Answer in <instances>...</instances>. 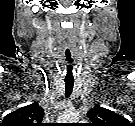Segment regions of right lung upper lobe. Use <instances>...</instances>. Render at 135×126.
<instances>
[{"mask_svg":"<svg viewBox=\"0 0 135 126\" xmlns=\"http://www.w3.org/2000/svg\"><path fill=\"white\" fill-rule=\"evenodd\" d=\"M44 116V110L37 102L17 109L5 116L3 126H39Z\"/></svg>","mask_w":135,"mask_h":126,"instance_id":"1","label":"right lung upper lobe"}]
</instances>
